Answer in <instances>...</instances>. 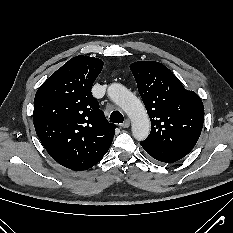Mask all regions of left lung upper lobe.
I'll return each mask as SVG.
<instances>
[{"label": "left lung upper lobe", "instance_id": "5c2ea615", "mask_svg": "<svg viewBox=\"0 0 233 233\" xmlns=\"http://www.w3.org/2000/svg\"><path fill=\"white\" fill-rule=\"evenodd\" d=\"M130 69L151 121L146 141L189 153L199 139L204 122L200 97L186 90L159 62L137 61Z\"/></svg>", "mask_w": 233, "mask_h": 233}]
</instances>
